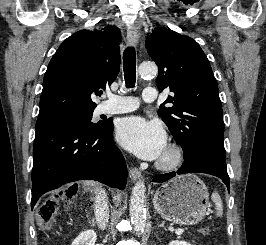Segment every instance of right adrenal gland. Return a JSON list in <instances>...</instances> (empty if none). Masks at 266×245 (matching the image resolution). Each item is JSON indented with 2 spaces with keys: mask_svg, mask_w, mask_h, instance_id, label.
<instances>
[{
  "mask_svg": "<svg viewBox=\"0 0 266 245\" xmlns=\"http://www.w3.org/2000/svg\"><path fill=\"white\" fill-rule=\"evenodd\" d=\"M91 221H92L91 227H96L95 219H91Z\"/></svg>",
  "mask_w": 266,
  "mask_h": 245,
  "instance_id": "right-adrenal-gland-1",
  "label": "right adrenal gland"
}]
</instances>
